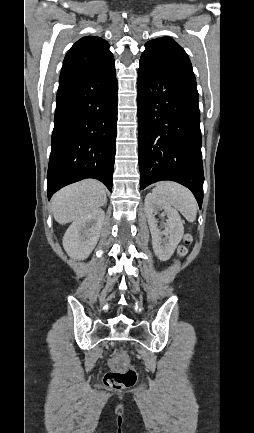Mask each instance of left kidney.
<instances>
[{"label":"left kidney","mask_w":254,"mask_h":433,"mask_svg":"<svg viewBox=\"0 0 254 433\" xmlns=\"http://www.w3.org/2000/svg\"><path fill=\"white\" fill-rule=\"evenodd\" d=\"M163 209L167 215L166 228L161 231L157 226L155 213ZM144 210L152 235L154 253L161 261L168 260L174 253L184 234V227L179 213L154 193L145 197ZM165 236V239H162Z\"/></svg>","instance_id":"left-kidney-1"}]
</instances>
